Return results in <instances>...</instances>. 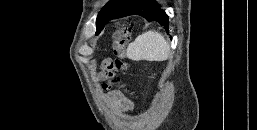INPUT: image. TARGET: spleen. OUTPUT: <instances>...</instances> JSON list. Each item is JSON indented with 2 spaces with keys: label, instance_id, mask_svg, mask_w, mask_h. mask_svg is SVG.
<instances>
[{
  "label": "spleen",
  "instance_id": "obj_1",
  "mask_svg": "<svg viewBox=\"0 0 257 130\" xmlns=\"http://www.w3.org/2000/svg\"><path fill=\"white\" fill-rule=\"evenodd\" d=\"M169 53V44L164 36L153 30L139 35L127 48V57L133 61L161 62L167 60Z\"/></svg>",
  "mask_w": 257,
  "mask_h": 130
}]
</instances>
